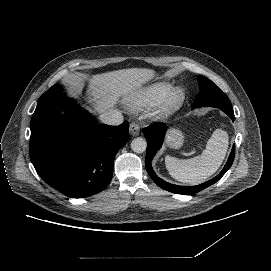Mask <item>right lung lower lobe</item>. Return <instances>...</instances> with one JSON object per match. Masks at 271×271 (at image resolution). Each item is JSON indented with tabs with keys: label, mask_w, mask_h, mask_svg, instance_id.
<instances>
[{
	"label": "right lung lower lobe",
	"mask_w": 271,
	"mask_h": 271,
	"mask_svg": "<svg viewBox=\"0 0 271 271\" xmlns=\"http://www.w3.org/2000/svg\"><path fill=\"white\" fill-rule=\"evenodd\" d=\"M30 129L29 152L36 172L71 198L97 194L109 185L115 155L129 137L127 121L100 125L63 92L38 100Z\"/></svg>",
	"instance_id": "right-lung-lower-lobe-1"
}]
</instances>
